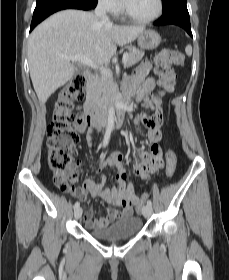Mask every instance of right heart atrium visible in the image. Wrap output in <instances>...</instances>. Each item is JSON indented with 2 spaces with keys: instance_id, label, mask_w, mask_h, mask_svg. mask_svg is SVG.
I'll return each mask as SVG.
<instances>
[{
  "instance_id": "obj_1",
  "label": "right heart atrium",
  "mask_w": 229,
  "mask_h": 280,
  "mask_svg": "<svg viewBox=\"0 0 229 280\" xmlns=\"http://www.w3.org/2000/svg\"><path fill=\"white\" fill-rule=\"evenodd\" d=\"M98 3L104 11L111 15H117L120 12L119 0H98Z\"/></svg>"
}]
</instances>
